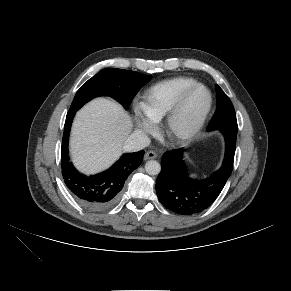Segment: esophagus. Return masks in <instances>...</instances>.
I'll use <instances>...</instances> for the list:
<instances>
[{"label":"esophagus","mask_w":291,"mask_h":291,"mask_svg":"<svg viewBox=\"0 0 291 291\" xmlns=\"http://www.w3.org/2000/svg\"><path fill=\"white\" fill-rule=\"evenodd\" d=\"M157 158V153L155 151H148L145 153L144 159L149 160V159H155Z\"/></svg>","instance_id":"obj_1"}]
</instances>
